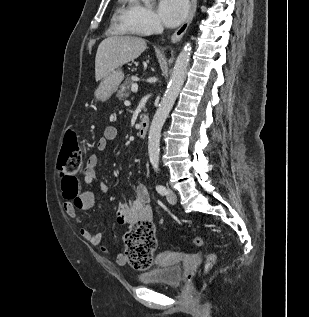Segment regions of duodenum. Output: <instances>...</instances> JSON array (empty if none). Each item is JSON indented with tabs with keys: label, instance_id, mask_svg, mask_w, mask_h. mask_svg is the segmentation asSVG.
<instances>
[{
	"label": "duodenum",
	"instance_id": "obj_1",
	"mask_svg": "<svg viewBox=\"0 0 309 317\" xmlns=\"http://www.w3.org/2000/svg\"><path fill=\"white\" fill-rule=\"evenodd\" d=\"M150 121L147 116H144L138 124V137L144 139L149 130Z\"/></svg>",
	"mask_w": 309,
	"mask_h": 317
}]
</instances>
